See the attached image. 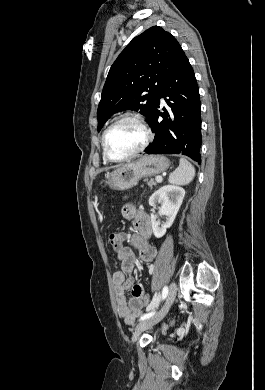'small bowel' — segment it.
Instances as JSON below:
<instances>
[{"mask_svg": "<svg viewBox=\"0 0 265 390\" xmlns=\"http://www.w3.org/2000/svg\"><path fill=\"white\" fill-rule=\"evenodd\" d=\"M122 214L126 219L132 220L135 233L130 237L133 247L138 250V259L150 263L156 256V249L148 242L151 236V221L149 216L132 203H126L122 208ZM118 247L115 249L121 270L113 275L116 303L119 315L127 324H133L142 314L146 294L142 284L137 283L130 275L136 262V256L131 248L124 245L127 237L124 233H118ZM131 291V298L127 299L125 293Z\"/></svg>", "mask_w": 265, "mask_h": 390, "instance_id": "small-bowel-1", "label": "small bowel"}]
</instances>
